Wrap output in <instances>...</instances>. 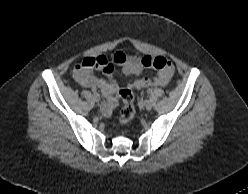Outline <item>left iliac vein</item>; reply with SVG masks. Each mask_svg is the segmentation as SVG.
I'll list each match as a JSON object with an SVG mask.
<instances>
[{"label":"left iliac vein","mask_w":248,"mask_h":194,"mask_svg":"<svg viewBox=\"0 0 248 194\" xmlns=\"http://www.w3.org/2000/svg\"><path fill=\"white\" fill-rule=\"evenodd\" d=\"M152 107H153V102L151 101V100H147L146 102H145V108H146V110H151L152 109Z\"/></svg>","instance_id":"obj_1"}]
</instances>
